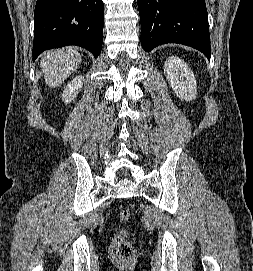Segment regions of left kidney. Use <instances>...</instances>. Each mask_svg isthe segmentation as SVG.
I'll list each match as a JSON object with an SVG mask.
<instances>
[{
  "mask_svg": "<svg viewBox=\"0 0 253 271\" xmlns=\"http://www.w3.org/2000/svg\"><path fill=\"white\" fill-rule=\"evenodd\" d=\"M165 77L176 93L185 101H192L197 95L195 76L188 65L176 56H171L164 63Z\"/></svg>",
  "mask_w": 253,
  "mask_h": 271,
  "instance_id": "obj_1",
  "label": "left kidney"
}]
</instances>
